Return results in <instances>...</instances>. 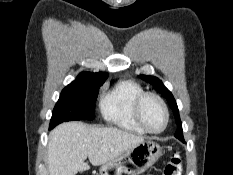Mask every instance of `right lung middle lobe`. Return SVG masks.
I'll return each instance as SVG.
<instances>
[{"label":"right lung middle lobe","instance_id":"dd1d6c3e","mask_svg":"<svg viewBox=\"0 0 233 175\" xmlns=\"http://www.w3.org/2000/svg\"><path fill=\"white\" fill-rule=\"evenodd\" d=\"M104 82L105 80L84 81L66 86L54 107L49 129L65 121L94 119L99 87Z\"/></svg>","mask_w":233,"mask_h":175}]
</instances>
